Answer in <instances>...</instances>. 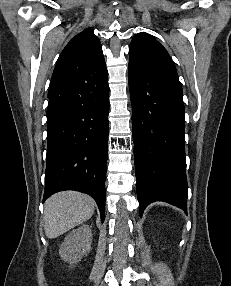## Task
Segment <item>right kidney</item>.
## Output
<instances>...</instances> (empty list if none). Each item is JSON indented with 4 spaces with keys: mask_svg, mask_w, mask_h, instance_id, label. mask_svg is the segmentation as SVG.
Here are the masks:
<instances>
[{
    "mask_svg": "<svg viewBox=\"0 0 231 286\" xmlns=\"http://www.w3.org/2000/svg\"><path fill=\"white\" fill-rule=\"evenodd\" d=\"M91 243V228L88 225H82L66 236L59 249V255L63 260L76 264L90 252Z\"/></svg>",
    "mask_w": 231,
    "mask_h": 286,
    "instance_id": "ca27d5eb",
    "label": "right kidney"
}]
</instances>
